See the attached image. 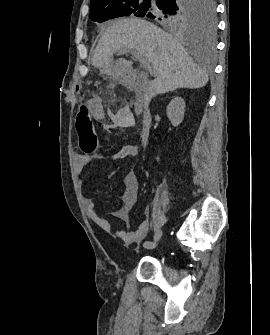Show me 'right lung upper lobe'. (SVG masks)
<instances>
[{
    "mask_svg": "<svg viewBox=\"0 0 270 335\" xmlns=\"http://www.w3.org/2000/svg\"><path fill=\"white\" fill-rule=\"evenodd\" d=\"M109 1H111V0H91V6L90 7L100 6V5L105 4Z\"/></svg>",
    "mask_w": 270,
    "mask_h": 335,
    "instance_id": "cb5924a9",
    "label": "right lung upper lobe"
}]
</instances>
